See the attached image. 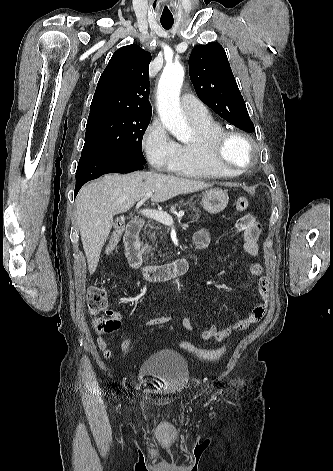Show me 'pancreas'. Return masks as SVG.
<instances>
[{
  "mask_svg": "<svg viewBox=\"0 0 333 471\" xmlns=\"http://www.w3.org/2000/svg\"><path fill=\"white\" fill-rule=\"evenodd\" d=\"M179 203H180L181 206L188 205L191 208L192 212H194V214L193 213L191 214L192 220L197 222L199 217H200V210L196 208L195 203L192 201V199L188 200L187 202L180 201ZM147 228H149V230H147ZM163 229L164 228L161 225H155V223L152 222V221H149L145 225L144 234H143L142 237H143L144 240L149 238V240L153 244H149L146 241V243L143 246V249L147 253L150 254L149 257H151L152 260L155 259L154 255L152 253L155 250V248L153 247V245L155 244L154 242L157 239V235L162 234ZM147 259H148V257H147Z\"/></svg>",
  "mask_w": 333,
  "mask_h": 471,
  "instance_id": "obj_1",
  "label": "pancreas"
}]
</instances>
